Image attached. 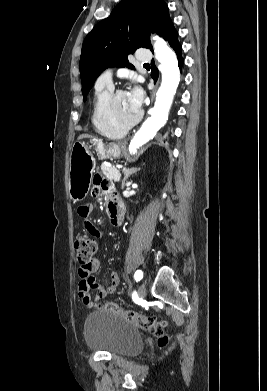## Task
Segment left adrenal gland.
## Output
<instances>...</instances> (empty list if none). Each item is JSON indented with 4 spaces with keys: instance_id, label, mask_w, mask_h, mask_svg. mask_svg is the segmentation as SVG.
I'll return each instance as SVG.
<instances>
[{
    "instance_id": "1",
    "label": "left adrenal gland",
    "mask_w": 267,
    "mask_h": 391,
    "mask_svg": "<svg viewBox=\"0 0 267 391\" xmlns=\"http://www.w3.org/2000/svg\"><path fill=\"white\" fill-rule=\"evenodd\" d=\"M139 170H140V168H126V167L123 168L124 178H123V180H122V188H124L126 180H127L132 174L136 173V172L139 171Z\"/></svg>"
}]
</instances>
